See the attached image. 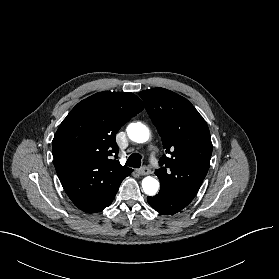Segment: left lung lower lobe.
I'll use <instances>...</instances> for the list:
<instances>
[{"label":"left lung lower lobe","mask_w":279,"mask_h":279,"mask_svg":"<svg viewBox=\"0 0 279 279\" xmlns=\"http://www.w3.org/2000/svg\"><path fill=\"white\" fill-rule=\"evenodd\" d=\"M194 197L178 195L160 189L156 196L147 197L152 208L162 214L172 215L185 208Z\"/></svg>","instance_id":"obj_1"}]
</instances>
